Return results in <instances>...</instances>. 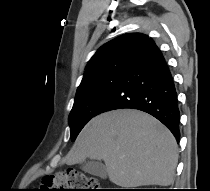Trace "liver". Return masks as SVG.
<instances>
[{
    "instance_id": "6515ba94",
    "label": "liver",
    "mask_w": 210,
    "mask_h": 191,
    "mask_svg": "<svg viewBox=\"0 0 210 191\" xmlns=\"http://www.w3.org/2000/svg\"><path fill=\"white\" fill-rule=\"evenodd\" d=\"M103 160L120 187L169 186L178 162L177 143L154 117L133 109L100 114L84 127L66 157L67 165Z\"/></svg>"
}]
</instances>
